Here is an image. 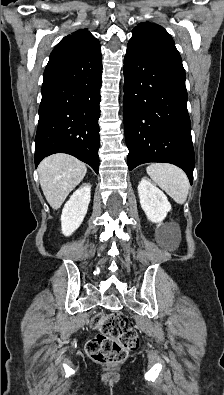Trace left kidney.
<instances>
[{"mask_svg": "<svg viewBox=\"0 0 224 395\" xmlns=\"http://www.w3.org/2000/svg\"><path fill=\"white\" fill-rule=\"evenodd\" d=\"M140 204L149 221L160 225L171 210L166 195L147 178L138 185Z\"/></svg>", "mask_w": 224, "mask_h": 395, "instance_id": "obj_1", "label": "left kidney"}]
</instances>
